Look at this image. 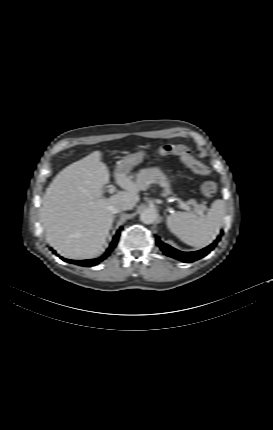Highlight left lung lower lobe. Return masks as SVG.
I'll return each mask as SVG.
<instances>
[{"mask_svg":"<svg viewBox=\"0 0 273 430\" xmlns=\"http://www.w3.org/2000/svg\"><path fill=\"white\" fill-rule=\"evenodd\" d=\"M219 240H220V237H218L216 241H214L208 247L195 252H181L163 243L159 238L156 239V243L165 255L186 263H190L206 256L210 251L214 249V247L216 246Z\"/></svg>","mask_w":273,"mask_h":430,"instance_id":"0a47b994","label":"left lung lower lobe"}]
</instances>
